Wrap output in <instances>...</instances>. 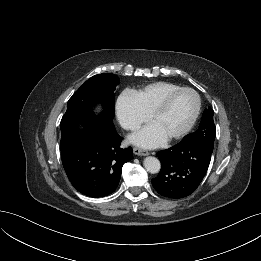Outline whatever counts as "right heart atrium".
<instances>
[{
	"label": "right heart atrium",
	"instance_id": "right-heart-atrium-1",
	"mask_svg": "<svg viewBox=\"0 0 261 261\" xmlns=\"http://www.w3.org/2000/svg\"><path fill=\"white\" fill-rule=\"evenodd\" d=\"M116 116L127 131H135L148 121L149 116L140 108L133 93H124L116 103Z\"/></svg>",
	"mask_w": 261,
	"mask_h": 261
}]
</instances>
